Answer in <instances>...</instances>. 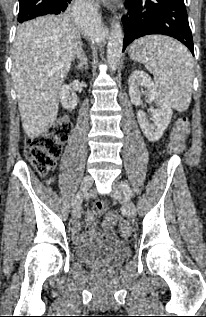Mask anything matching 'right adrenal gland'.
I'll use <instances>...</instances> for the list:
<instances>
[{"label": "right adrenal gland", "instance_id": "1", "mask_svg": "<svg viewBox=\"0 0 206 317\" xmlns=\"http://www.w3.org/2000/svg\"><path fill=\"white\" fill-rule=\"evenodd\" d=\"M77 58L79 59L78 68L81 69H87L88 68V58L86 53L83 50L82 44L80 45V48L76 54ZM85 66V67H84Z\"/></svg>", "mask_w": 206, "mask_h": 317}]
</instances>
